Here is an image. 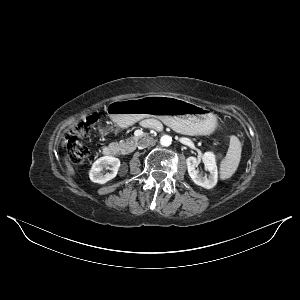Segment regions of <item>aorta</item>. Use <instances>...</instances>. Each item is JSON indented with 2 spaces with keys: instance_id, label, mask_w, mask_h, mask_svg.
I'll use <instances>...</instances> for the list:
<instances>
[{
  "instance_id": "762f6f07",
  "label": "aorta",
  "mask_w": 300,
  "mask_h": 300,
  "mask_svg": "<svg viewBox=\"0 0 300 300\" xmlns=\"http://www.w3.org/2000/svg\"><path fill=\"white\" fill-rule=\"evenodd\" d=\"M160 143H161L162 146L168 147L172 143V137L169 136V135H163L160 138Z\"/></svg>"
}]
</instances>
